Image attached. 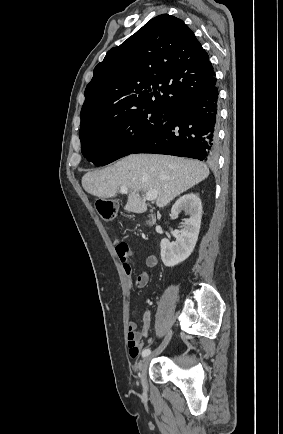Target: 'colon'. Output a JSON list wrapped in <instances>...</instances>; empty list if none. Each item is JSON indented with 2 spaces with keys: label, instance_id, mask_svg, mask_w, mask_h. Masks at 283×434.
<instances>
[{
  "label": "colon",
  "instance_id": "obj_1",
  "mask_svg": "<svg viewBox=\"0 0 283 434\" xmlns=\"http://www.w3.org/2000/svg\"><path fill=\"white\" fill-rule=\"evenodd\" d=\"M96 209L106 221H112L117 216V205L114 200L111 199H99L96 202Z\"/></svg>",
  "mask_w": 283,
  "mask_h": 434
}]
</instances>
